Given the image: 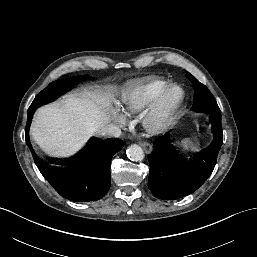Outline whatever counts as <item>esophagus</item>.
Listing matches in <instances>:
<instances>
[{"instance_id": "esophagus-1", "label": "esophagus", "mask_w": 257, "mask_h": 257, "mask_svg": "<svg viewBox=\"0 0 257 257\" xmlns=\"http://www.w3.org/2000/svg\"><path fill=\"white\" fill-rule=\"evenodd\" d=\"M140 145L146 153H150L152 151V146L149 143L143 142L140 143Z\"/></svg>"}]
</instances>
